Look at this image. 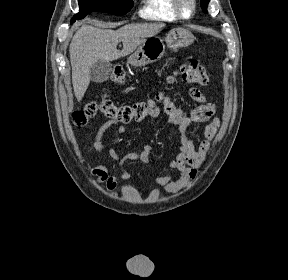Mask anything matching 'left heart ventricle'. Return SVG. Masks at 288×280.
Wrapping results in <instances>:
<instances>
[{
	"instance_id": "left-heart-ventricle-1",
	"label": "left heart ventricle",
	"mask_w": 288,
	"mask_h": 280,
	"mask_svg": "<svg viewBox=\"0 0 288 280\" xmlns=\"http://www.w3.org/2000/svg\"><path fill=\"white\" fill-rule=\"evenodd\" d=\"M183 9H184V12H185V13H188V12H189V6H188V4L185 3Z\"/></svg>"
}]
</instances>
